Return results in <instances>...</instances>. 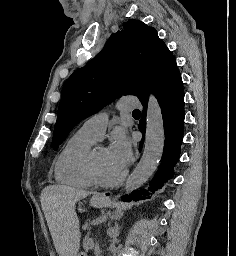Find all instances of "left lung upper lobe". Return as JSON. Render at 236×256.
Segmentation results:
<instances>
[{
	"instance_id": "left-lung-upper-lobe-1",
	"label": "left lung upper lobe",
	"mask_w": 236,
	"mask_h": 256,
	"mask_svg": "<svg viewBox=\"0 0 236 256\" xmlns=\"http://www.w3.org/2000/svg\"><path fill=\"white\" fill-rule=\"evenodd\" d=\"M177 69L176 60L153 27L139 20L123 23L105 47L65 82L52 147L66 139L86 117L121 95L140 99Z\"/></svg>"
}]
</instances>
